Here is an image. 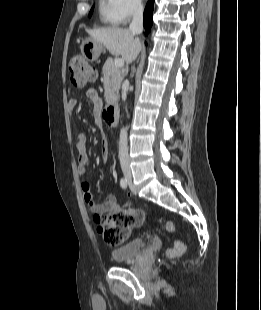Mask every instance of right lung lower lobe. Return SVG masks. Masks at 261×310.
Segmentation results:
<instances>
[{"label":"right lung lower lobe","mask_w":261,"mask_h":310,"mask_svg":"<svg viewBox=\"0 0 261 310\" xmlns=\"http://www.w3.org/2000/svg\"><path fill=\"white\" fill-rule=\"evenodd\" d=\"M153 7H154V0H148L146 8L144 10V29L146 30V34L148 33V31L151 30L152 27V13H153Z\"/></svg>","instance_id":"obj_1"}]
</instances>
